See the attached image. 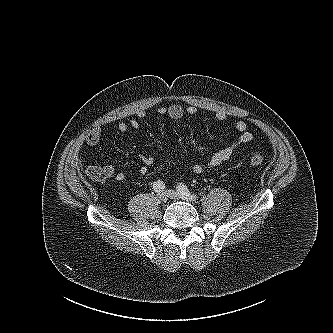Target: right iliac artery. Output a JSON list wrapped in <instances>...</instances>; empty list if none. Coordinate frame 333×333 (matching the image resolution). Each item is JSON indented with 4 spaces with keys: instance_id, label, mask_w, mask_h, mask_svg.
Returning <instances> with one entry per match:
<instances>
[{
    "instance_id": "right-iliac-artery-1",
    "label": "right iliac artery",
    "mask_w": 333,
    "mask_h": 333,
    "mask_svg": "<svg viewBox=\"0 0 333 333\" xmlns=\"http://www.w3.org/2000/svg\"><path fill=\"white\" fill-rule=\"evenodd\" d=\"M153 189L155 192L160 193L165 189V184L161 180L155 181L153 183Z\"/></svg>"
}]
</instances>
